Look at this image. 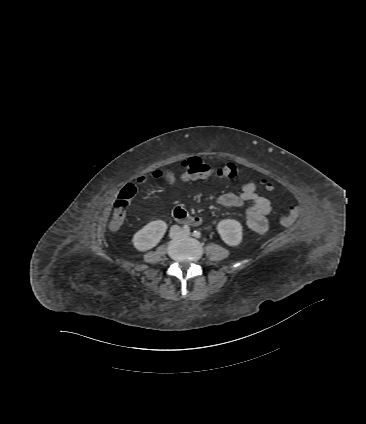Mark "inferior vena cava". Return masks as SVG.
<instances>
[{
	"label": "inferior vena cava",
	"mask_w": 366,
	"mask_h": 424,
	"mask_svg": "<svg viewBox=\"0 0 366 424\" xmlns=\"http://www.w3.org/2000/svg\"><path fill=\"white\" fill-rule=\"evenodd\" d=\"M180 227L178 225H174L171 227V235L174 236L175 231H179Z\"/></svg>",
	"instance_id": "1"
}]
</instances>
